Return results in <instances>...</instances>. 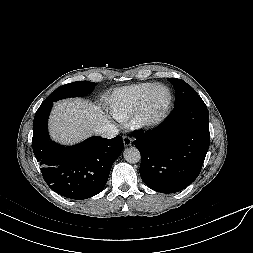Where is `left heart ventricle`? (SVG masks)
Returning <instances> with one entry per match:
<instances>
[{"label": "left heart ventricle", "instance_id": "1", "mask_svg": "<svg viewBox=\"0 0 253 253\" xmlns=\"http://www.w3.org/2000/svg\"><path fill=\"white\" fill-rule=\"evenodd\" d=\"M168 99V91L165 88H158L150 98L148 112L150 114H158L166 106Z\"/></svg>", "mask_w": 253, "mask_h": 253}]
</instances>
